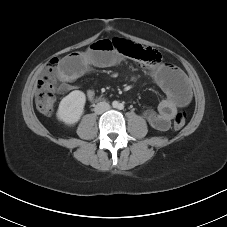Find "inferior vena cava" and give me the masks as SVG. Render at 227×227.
<instances>
[{
    "instance_id": "obj_1",
    "label": "inferior vena cava",
    "mask_w": 227,
    "mask_h": 227,
    "mask_svg": "<svg viewBox=\"0 0 227 227\" xmlns=\"http://www.w3.org/2000/svg\"><path fill=\"white\" fill-rule=\"evenodd\" d=\"M109 109H110V105L108 103L100 102L95 106L94 111L96 114H102Z\"/></svg>"
}]
</instances>
